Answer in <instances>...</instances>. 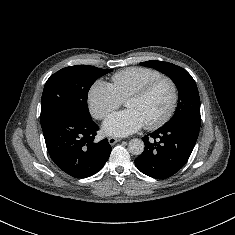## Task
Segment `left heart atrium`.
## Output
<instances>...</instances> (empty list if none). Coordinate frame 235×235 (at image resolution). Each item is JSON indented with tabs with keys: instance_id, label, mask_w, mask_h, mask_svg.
I'll use <instances>...</instances> for the list:
<instances>
[{
	"instance_id": "obj_1",
	"label": "left heart atrium",
	"mask_w": 235,
	"mask_h": 235,
	"mask_svg": "<svg viewBox=\"0 0 235 235\" xmlns=\"http://www.w3.org/2000/svg\"><path fill=\"white\" fill-rule=\"evenodd\" d=\"M145 125L140 114L133 110L127 109L121 112L111 114L103 124V130L114 136H127L137 132Z\"/></svg>"
}]
</instances>
